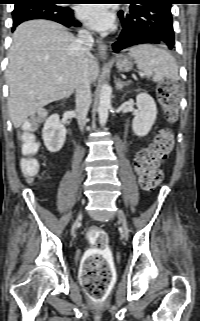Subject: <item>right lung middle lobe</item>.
I'll return each instance as SVG.
<instances>
[{
	"label": "right lung middle lobe",
	"mask_w": 200,
	"mask_h": 321,
	"mask_svg": "<svg viewBox=\"0 0 200 321\" xmlns=\"http://www.w3.org/2000/svg\"><path fill=\"white\" fill-rule=\"evenodd\" d=\"M51 1L56 2L57 4H59V3H62L63 1H67V0H51Z\"/></svg>",
	"instance_id": "dd1d6c3e"
}]
</instances>
